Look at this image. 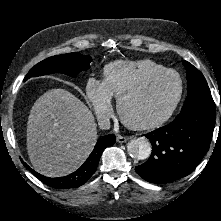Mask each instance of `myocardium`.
I'll use <instances>...</instances> for the list:
<instances>
[{
    "mask_svg": "<svg viewBox=\"0 0 221 221\" xmlns=\"http://www.w3.org/2000/svg\"><path fill=\"white\" fill-rule=\"evenodd\" d=\"M168 74H172V75L176 76L178 83H179L178 93H177L174 101L170 105V107L163 114H161L160 116H158L154 119H151L148 121H143V122H136V121L131 120L125 113L126 102L129 99H131L134 96L141 93L142 91H144L153 81H155L156 79H158L164 75H168ZM183 92H184L183 79L177 71H175L173 69L166 68V69L160 70L158 72L152 73V74L148 75L146 78H144L142 81H140L139 83H137L136 85H134L133 87H131L130 89L125 91L118 98L117 111H118L119 117L127 127L131 128L133 130L141 131V130H149V129L159 127V126L163 125L164 123H166L171 118V116L174 114L175 110L177 109V107L182 99Z\"/></svg>",
    "mask_w": 221,
    "mask_h": 221,
    "instance_id": "obj_1",
    "label": "myocardium"
}]
</instances>
